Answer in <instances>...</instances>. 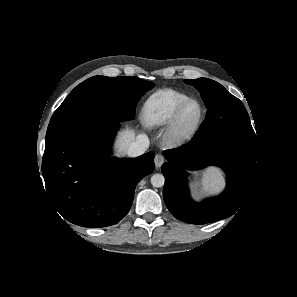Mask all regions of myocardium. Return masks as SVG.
<instances>
[{"instance_id": "f54148a6", "label": "myocardium", "mask_w": 297, "mask_h": 297, "mask_svg": "<svg viewBox=\"0 0 297 297\" xmlns=\"http://www.w3.org/2000/svg\"><path fill=\"white\" fill-rule=\"evenodd\" d=\"M191 103H196L199 106L200 112L199 116L194 122V124L187 128V129H182L180 126V120L183 111L185 108L191 104ZM206 116V110L203 106V104L194 98H189L188 100L184 101L174 112L173 116L171 117L166 133H165V140L169 145L172 146H180L188 141H190L198 132L200 129L204 119Z\"/></svg>"}]
</instances>
